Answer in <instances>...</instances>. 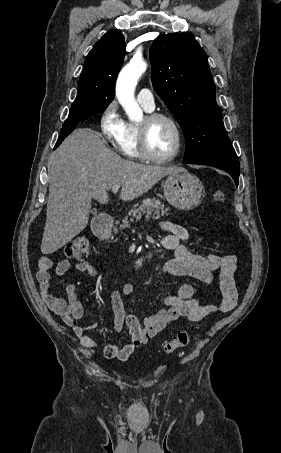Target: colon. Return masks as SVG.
<instances>
[{
  "label": "colon",
  "instance_id": "5ec220e1",
  "mask_svg": "<svg viewBox=\"0 0 281 453\" xmlns=\"http://www.w3.org/2000/svg\"><path fill=\"white\" fill-rule=\"evenodd\" d=\"M224 192L217 190L210 194V202L215 206H220L224 203ZM89 245L84 238H75L67 244L65 256L68 260L85 262L88 260ZM192 341V335L186 332H181L177 337L163 345L165 354L170 355L178 349L186 348Z\"/></svg>",
  "mask_w": 281,
  "mask_h": 453
}]
</instances>
